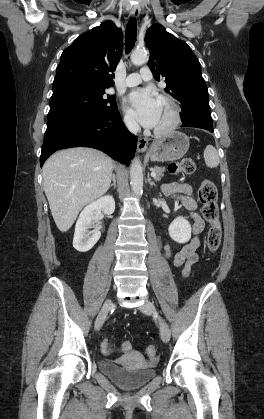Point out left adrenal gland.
<instances>
[{
    "label": "left adrenal gland",
    "mask_w": 264,
    "mask_h": 419,
    "mask_svg": "<svg viewBox=\"0 0 264 419\" xmlns=\"http://www.w3.org/2000/svg\"><path fill=\"white\" fill-rule=\"evenodd\" d=\"M148 183H149L151 186H155V183L151 180V178L149 177V175H148Z\"/></svg>",
    "instance_id": "a2214340"
}]
</instances>
